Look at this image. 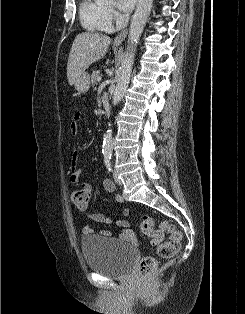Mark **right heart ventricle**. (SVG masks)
<instances>
[{"mask_svg":"<svg viewBox=\"0 0 245 314\" xmlns=\"http://www.w3.org/2000/svg\"><path fill=\"white\" fill-rule=\"evenodd\" d=\"M106 9L95 0H81L79 16L82 25L89 31L109 32L112 28L106 21Z\"/></svg>","mask_w":245,"mask_h":314,"instance_id":"e07e8e85","label":"right heart ventricle"}]
</instances>
